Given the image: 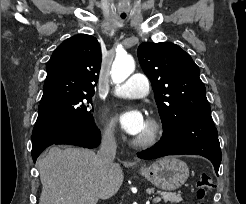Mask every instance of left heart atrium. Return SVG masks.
Wrapping results in <instances>:
<instances>
[{
  "label": "left heart atrium",
  "mask_w": 246,
  "mask_h": 204,
  "mask_svg": "<svg viewBox=\"0 0 246 204\" xmlns=\"http://www.w3.org/2000/svg\"><path fill=\"white\" fill-rule=\"evenodd\" d=\"M121 128L129 135L138 136L146 125V120L138 108H125L117 115Z\"/></svg>",
  "instance_id": "left-heart-atrium-1"
}]
</instances>
